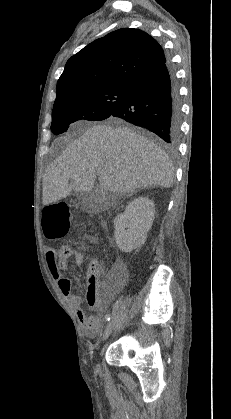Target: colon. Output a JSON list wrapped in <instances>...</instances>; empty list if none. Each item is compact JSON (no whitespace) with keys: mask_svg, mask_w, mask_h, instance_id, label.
<instances>
[{"mask_svg":"<svg viewBox=\"0 0 231 419\" xmlns=\"http://www.w3.org/2000/svg\"><path fill=\"white\" fill-rule=\"evenodd\" d=\"M43 219L46 232L53 237L68 233L72 226V216L65 203H56L48 206L44 211ZM78 247L83 248V245L79 244ZM89 272V285L95 288L97 285V276L101 273V267L98 265H91ZM121 273V270H115L111 275L112 280L116 281Z\"/></svg>","mask_w":231,"mask_h":419,"instance_id":"obj_1","label":"colon"}]
</instances>
